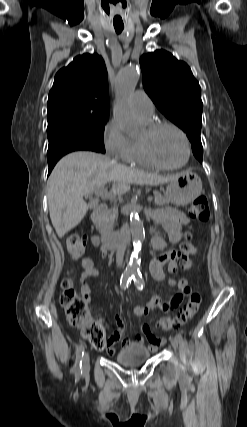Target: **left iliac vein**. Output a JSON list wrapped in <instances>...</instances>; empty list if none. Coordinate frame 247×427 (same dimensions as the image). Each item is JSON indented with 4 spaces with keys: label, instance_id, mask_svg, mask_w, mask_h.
<instances>
[{
    "label": "left iliac vein",
    "instance_id": "obj_1",
    "mask_svg": "<svg viewBox=\"0 0 247 427\" xmlns=\"http://www.w3.org/2000/svg\"><path fill=\"white\" fill-rule=\"evenodd\" d=\"M172 347L177 350L180 340L175 336L170 339ZM175 362L177 363V358H175Z\"/></svg>",
    "mask_w": 247,
    "mask_h": 427
}]
</instances>
